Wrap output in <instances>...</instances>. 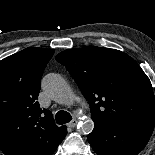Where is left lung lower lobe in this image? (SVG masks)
I'll use <instances>...</instances> for the list:
<instances>
[{"label": "left lung lower lobe", "mask_w": 155, "mask_h": 155, "mask_svg": "<svg viewBox=\"0 0 155 155\" xmlns=\"http://www.w3.org/2000/svg\"><path fill=\"white\" fill-rule=\"evenodd\" d=\"M94 123L87 140L99 155H137L154 129V121Z\"/></svg>", "instance_id": "obj_1"}]
</instances>
